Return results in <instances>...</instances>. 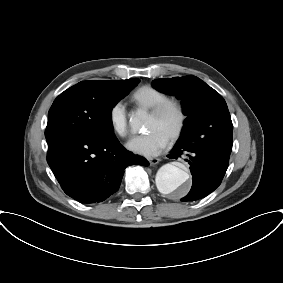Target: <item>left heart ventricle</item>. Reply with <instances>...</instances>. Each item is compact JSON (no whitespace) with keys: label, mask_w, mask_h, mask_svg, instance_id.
I'll use <instances>...</instances> for the list:
<instances>
[{"label":"left heart ventricle","mask_w":283,"mask_h":283,"mask_svg":"<svg viewBox=\"0 0 283 283\" xmlns=\"http://www.w3.org/2000/svg\"><path fill=\"white\" fill-rule=\"evenodd\" d=\"M177 121L178 115L173 109L168 110L165 114L158 117L149 114L145 123V129L147 131L155 129L169 137L174 131Z\"/></svg>","instance_id":"1"}]
</instances>
